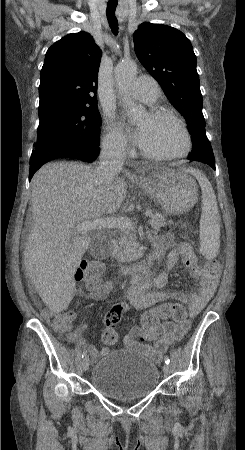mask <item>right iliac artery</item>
<instances>
[{
    "mask_svg": "<svg viewBox=\"0 0 245 450\" xmlns=\"http://www.w3.org/2000/svg\"><path fill=\"white\" fill-rule=\"evenodd\" d=\"M87 356V351H83L82 358H85Z\"/></svg>",
    "mask_w": 245,
    "mask_h": 450,
    "instance_id": "right-iliac-artery-1",
    "label": "right iliac artery"
}]
</instances>
